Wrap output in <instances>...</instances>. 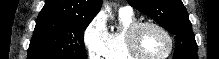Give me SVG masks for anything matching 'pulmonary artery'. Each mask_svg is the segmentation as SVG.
Segmentation results:
<instances>
[{
  "label": "pulmonary artery",
  "mask_w": 219,
  "mask_h": 59,
  "mask_svg": "<svg viewBox=\"0 0 219 59\" xmlns=\"http://www.w3.org/2000/svg\"><path fill=\"white\" fill-rule=\"evenodd\" d=\"M119 12L133 13V10L130 6H123L119 8Z\"/></svg>",
  "instance_id": "e3ab8cb5"
}]
</instances>
